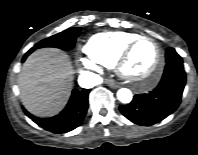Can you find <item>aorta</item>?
<instances>
[{"mask_svg":"<svg viewBox=\"0 0 198 155\" xmlns=\"http://www.w3.org/2000/svg\"><path fill=\"white\" fill-rule=\"evenodd\" d=\"M117 98L123 104L131 102L133 95L132 92L127 88H121L117 91Z\"/></svg>","mask_w":198,"mask_h":155,"instance_id":"aorta-1","label":"aorta"}]
</instances>
